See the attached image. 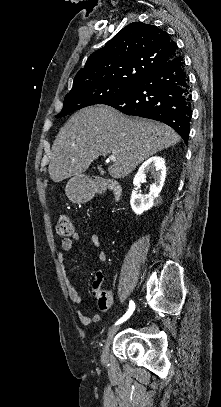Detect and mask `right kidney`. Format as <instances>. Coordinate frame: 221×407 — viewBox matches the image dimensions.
I'll use <instances>...</instances> for the list:
<instances>
[{
    "label": "right kidney",
    "mask_w": 221,
    "mask_h": 407,
    "mask_svg": "<svg viewBox=\"0 0 221 407\" xmlns=\"http://www.w3.org/2000/svg\"><path fill=\"white\" fill-rule=\"evenodd\" d=\"M149 170L154 171V182L150 185V193L142 196L137 192L141 181L146 177ZM166 178L165 160L159 156H153L147 159L136 173L133 184L134 190L131 194L130 204L135 214L141 215L144 211L149 210L154 205L162 202L159 193L161 192Z\"/></svg>",
    "instance_id": "ca27d5eb"
}]
</instances>
